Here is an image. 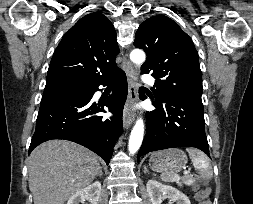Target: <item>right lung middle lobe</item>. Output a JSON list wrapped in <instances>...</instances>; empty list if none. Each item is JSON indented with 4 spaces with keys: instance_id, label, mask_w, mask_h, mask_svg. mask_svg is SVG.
<instances>
[{
    "instance_id": "obj_1",
    "label": "right lung middle lobe",
    "mask_w": 253,
    "mask_h": 204,
    "mask_svg": "<svg viewBox=\"0 0 253 204\" xmlns=\"http://www.w3.org/2000/svg\"><path fill=\"white\" fill-rule=\"evenodd\" d=\"M89 87L90 86L69 81L47 82L42 99L84 95L89 93Z\"/></svg>"
}]
</instances>
